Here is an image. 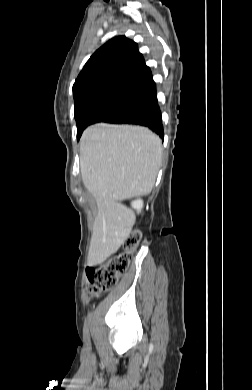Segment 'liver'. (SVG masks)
<instances>
[{"mask_svg": "<svg viewBox=\"0 0 252 390\" xmlns=\"http://www.w3.org/2000/svg\"><path fill=\"white\" fill-rule=\"evenodd\" d=\"M160 138L148 128L99 123L80 140L85 188L97 198L98 214L88 265L103 263L129 237L135 217L121 201L151 192L161 165Z\"/></svg>", "mask_w": 252, "mask_h": 390, "instance_id": "liver-1", "label": "liver"}]
</instances>
